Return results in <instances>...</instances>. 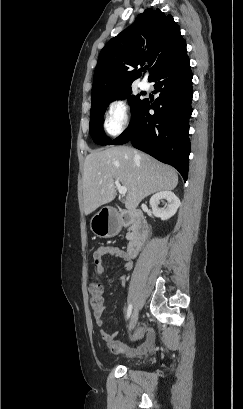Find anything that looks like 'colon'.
<instances>
[{
  "instance_id": "5ec220e1",
  "label": "colon",
  "mask_w": 243,
  "mask_h": 409,
  "mask_svg": "<svg viewBox=\"0 0 243 409\" xmlns=\"http://www.w3.org/2000/svg\"><path fill=\"white\" fill-rule=\"evenodd\" d=\"M91 292V305L94 309H100L103 306L102 287L99 284H92L89 287Z\"/></svg>"
}]
</instances>
